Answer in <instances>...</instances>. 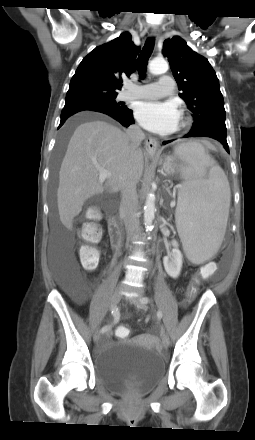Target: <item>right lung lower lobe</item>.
Segmentation results:
<instances>
[{"mask_svg": "<svg viewBox=\"0 0 255 440\" xmlns=\"http://www.w3.org/2000/svg\"><path fill=\"white\" fill-rule=\"evenodd\" d=\"M81 111H95L107 114L125 127H128L134 123L132 110L126 108L125 106L117 108L104 102L83 99L65 103L61 113L59 127L64 124L67 118Z\"/></svg>", "mask_w": 255, "mask_h": 440, "instance_id": "obj_1", "label": "right lung lower lobe"}]
</instances>
